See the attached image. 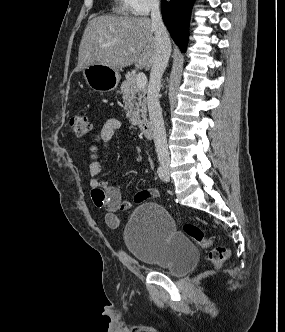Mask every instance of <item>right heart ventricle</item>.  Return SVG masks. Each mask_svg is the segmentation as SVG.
Wrapping results in <instances>:
<instances>
[{
	"label": "right heart ventricle",
	"instance_id": "e07e8e85",
	"mask_svg": "<svg viewBox=\"0 0 285 332\" xmlns=\"http://www.w3.org/2000/svg\"><path fill=\"white\" fill-rule=\"evenodd\" d=\"M113 11L118 14L126 15L129 8L126 0H114Z\"/></svg>",
	"mask_w": 285,
	"mask_h": 332
}]
</instances>
